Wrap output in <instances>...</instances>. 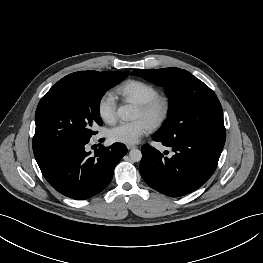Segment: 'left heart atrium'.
<instances>
[{"label":"left heart atrium","mask_w":263,"mask_h":263,"mask_svg":"<svg viewBox=\"0 0 263 263\" xmlns=\"http://www.w3.org/2000/svg\"><path fill=\"white\" fill-rule=\"evenodd\" d=\"M151 129L152 125L146 119L141 118L136 121L117 124L108 131V137L112 142L134 145Z\"/></svg>","instance_id":"39dd6f15"}]
</instances>
